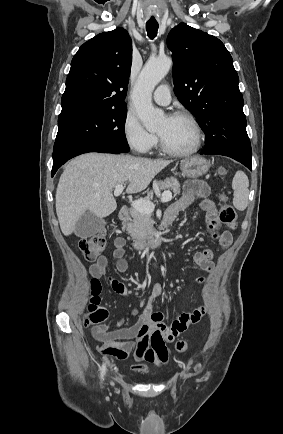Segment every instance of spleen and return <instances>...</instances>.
Masks as SVG:
<instances>
[{
  "label": "spleen",
  "instance_id": "1",
  "mask_svg": "<svg viewBox=\"0 0 283 434\" xmlns=\"http://www.w3.org/2000/svg\"><path fill=\"white\" fill-rule=\"evenodd\" d=\"M248 186L249 181L246 174L243 171H237L232 181L234 190L233 205L237 210L243 211L248 205Z\"/></svg>",
  "mask_w": 283,
  "mask_h": 434
}]
</instances>
